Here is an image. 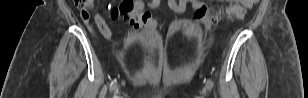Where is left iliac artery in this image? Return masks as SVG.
Returning <instances> with one entry per match:
<instances>
[{"mask_svg": "<svg viewBox=\"0 0 308 98\" xmlns=\"http://www.w3.org/2000/svg\"><path fill=\"white\" fill-rule=\"evenodd\" d=\"M206 86H207V88H208L209 90H211V89L213 88V82H212L211 79H208V80L206 81Z\"/></svg>", "mask_w": 308, "mask_h": 98, "instance_id": "obj_1", "label": "left iliac artery"}]
</instances>
